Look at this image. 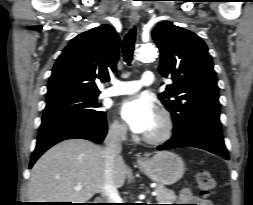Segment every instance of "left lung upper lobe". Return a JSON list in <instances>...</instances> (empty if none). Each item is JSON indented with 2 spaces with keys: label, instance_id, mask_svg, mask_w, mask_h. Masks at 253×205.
<instances>
[{
  "label": "left lung upper lobe",
  "instance_id": "left-lung-upper-lobe-1",
  "mask_svg": "<svg viewBox=\"0 0 253 205\" xmlns=\"http://www.w3.org/2000/svg\"><path fill=\"white\" fill-rule=\"evenodd\" d=\"M153 39L161 51L158 70L173 80L159 99L173 116L174 130L185 131L201 118L219 120L217 78L203 40L171 22L159 23Z\"/></svg>",
  "mask_w": 253,
  "mask_h": 205
}]
</instances>
